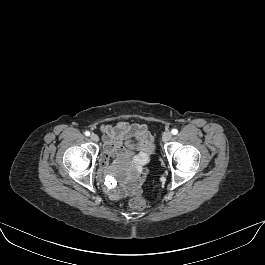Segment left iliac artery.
I'll return each instance as SVG.
<instances>
[{"mask_svg":"<svg viewBox=\"0 0 265 265\" xmlns=\"http://www.w3.org/2000/svg\"><path fill=\"white\" fill-rule=\"evenodd\" d=\"M171 133H172L173 135H176V134H178V130H177V129H172V130H171Z\"/></svg>","mask_w":265,"mask_h":265,"instance_id":"left-iliac-artery-1","label":"left iliac artery"}]
</instances>
